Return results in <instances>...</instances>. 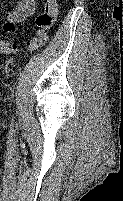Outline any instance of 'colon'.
Segmentation results:
<instances>
[{
	"label": "colon",
	"instance_id": "1",
	"mask_svg": "<svg viewBox=\"0 0 123 201\" xmlns=\"http://www.w3.org/2000/svg\"><path fill=\"white\" fill-rule=\"evenodd\" d=\"M58 12L57 0H45L42 11L36 16L35 22L38 30L35 36L27 41V51H35L46 45L48 32L52 28ZM18 45L0 40V54L17 53Z\"/></svg>",
	"mask_w": 123,
	"mask_h": 201
}]
</instances>
